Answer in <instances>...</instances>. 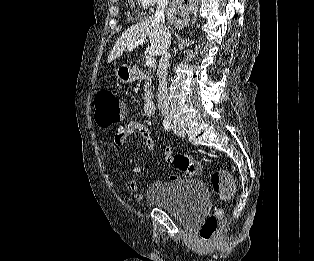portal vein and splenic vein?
<instances>
[{"label":"portal vein and splenic vein","mask_w":314,"mask_h":261,"mask_svg":"<svg viewBox=\"0 0 314 261\" xmlns=\"http://www.w3.org/2000/svg\"><path fill=\"white\" fill-rule=\"evenodd\" d=\"M145 43L144 40H139L137 42H135L134 44H131L130 46H128V50L131 51L133 50L134 48L138 47L139 45H143ZM146 65L147 67H154L155 65V59L154 57H147L146 59Z\"/></svg>","instance_id":"obj_1"}]
</instances>
